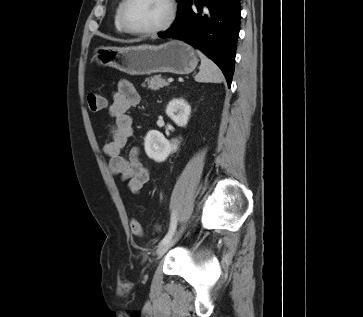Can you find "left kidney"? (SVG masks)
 Instances as JSON below:
<instances>
[{
  "label": "left kidney",
  "instance_id": "5707ae66",
  "mask_svg": "<svg viewBox=\"0 0 363 317\" xmlns=\"http://www.w3.org/2000/svg\"><path fill=\"white\" fill-rule=\"evenodd\" d=\"M190 112L191 107L181 98L171 100L166 107V115L180 127L187 125ZM178 143L177 139L170 142L159 131L151 130L145 137V152L149 158L161 162L178 149Z\"/></svg>",
  "mask_w": 363,
  "mask_h": 317
}]
</instances>
